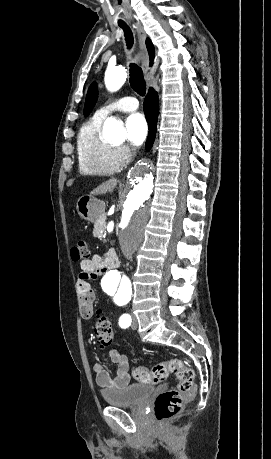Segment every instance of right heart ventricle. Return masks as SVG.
Returning a JSON list of instances; mask_svg holds the SVG:
<instances>
[{"mask_svg":"<svg viewBox=\"0 0 271 459\" xmlns=\"http://www.w3.org/2000/svg\"><path fill=\"white\" fill-rule=\"evenodd\" d=\"M102 120L92 117L80 128L77 136L78 169L82 175H109L122 166L116 145L100 136Z\"/></svg>","mask_w":271,"mask_h":459,"instance_id":"1","label":"right heart ventricle"}]
</instances>
